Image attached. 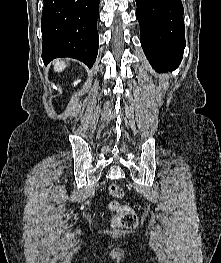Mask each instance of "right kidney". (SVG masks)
I'll list each match as a JSON object with an SVG mask.
<instances>
[{
	"label": "right kidney",
	"mask_w": 221,
	"mask_h": 263,
	"mask_svg": "<svg viewBox=\"0 0 221 263\" xmlns=\"http://www.w3.org/2000/svg\"><path fill=\"white\" fill-rule=\"evenodd\" d=\"M80 82V80H77L74 82V86L77 85Z\"/></svg>",
	"instance_id": "right-kidney-1"
}]
</instances>
